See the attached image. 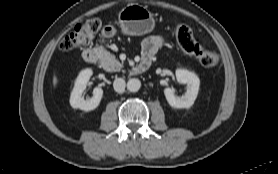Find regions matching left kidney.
<instances>
[{
  "instance_id": "1",
  "label": "left kidney",
  "mask_w": 278,
  "mask_h": 174,
  "mask_svg": "<svg viewBox=\"0 0 278 174\" xmlns=\"http://www.w3.org/2000/svg\"><path fill=\"white\" fill-rule=\"evenodd\" d=\"M176 79L181 84L187 85L186 93L181 96H175L173 88H165L164 95L170 106L174 108H190L197 98L200 80L198 76L185 69L176 70Z\"/></svg>"
}]
</instances>
